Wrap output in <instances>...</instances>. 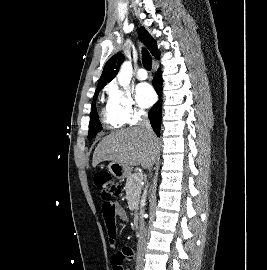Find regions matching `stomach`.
Wrapping results in <instances>:
<instances>
[{
	"mask_svg": "<svg viewBox=\"0 0 267 270\" xmlns=\"http://www.w3.org/2000/svg\"><path fill=\"white\" fill-rule=\"evenodd\" d=\"M108 170L117 179H124L130 174V168L117 162H111L108 165Z\"/></svg>",
	"mask_w": 267,
	"mask_h": 270,
	"instance_id": "stomach-1",
	"label": "stomach"
}]
</instances>
